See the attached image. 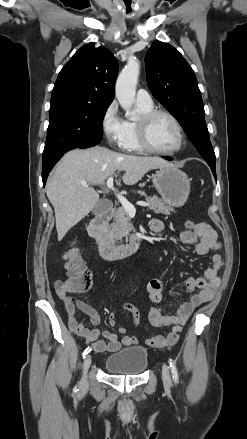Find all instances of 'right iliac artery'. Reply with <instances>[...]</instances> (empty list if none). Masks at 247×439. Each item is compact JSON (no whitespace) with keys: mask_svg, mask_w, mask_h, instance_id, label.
<instances>
[{"mask_svg":"<svg viewBox=\"0 0 247 439\" xmlns=\"http://www.w3.org/2000/svg\"><path fill=\"white\" fill-rule=\"evenodd\" d=\"M90 351H91V347L88 346L83 352V357H85ZM74 391L77 392L78 388L75 387Z\"/></svg>","mask_w":247,"mask_h":439,"instance_id":"82829eb1","label":"right iliac artery"}]
</instances>
